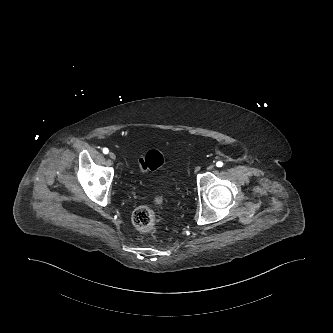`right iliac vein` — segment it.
<instances>
[{"label":"right iliac vein","instance_id":"63e3f726","mask_svg":"<svg viewBox=\"0 0 333 333\" xmlns=\"http://www.w3.org/2000/svg\"><path fill=\"white\" fill-rule=\"evenodd\" d=\"M109 157H110L111 159H113V160L116 159V155H115V153H113V152H110V153H109Z\"/></svg>","mask_w":333,"mask_h":333}]
</instances>
